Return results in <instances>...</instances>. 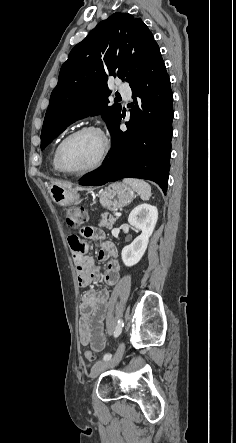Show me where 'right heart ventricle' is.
I'll list each match as a JSON object with an SVG mask.
<instances>
[{
	"mask_svg": "<svg viewBox=\"0 0 236 443\" xmlns=\"http://www.w3.org/2000/svg\"><path fill=\"white\" fill-rule=\"evenodd\" d=\"M59 143L60 142H58L56 144L54 151H53V155H52V166H53L54 171H56V172H61L58 165H57V160H56V152H57V147H58Z\"/></svg>",
	"mask_w": 236,
	"mask_h": 443,
	"instance_id": "obj_1",
	"label": "right heart ventricle"
}]
</instances>
